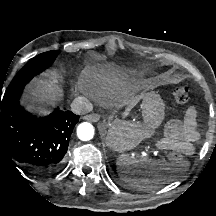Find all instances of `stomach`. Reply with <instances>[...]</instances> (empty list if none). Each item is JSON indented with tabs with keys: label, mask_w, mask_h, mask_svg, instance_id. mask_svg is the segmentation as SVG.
<instances>
[{
	"label": "stomach",
	"mask_w": 216,
	"mask_h": 216,
	"mask_svg": "<svg viewBox=\"0 0 216 216\" xmlns=\"http://www.w3.org/2000/svg\"><path fill=\"white\" fill-rule=\"evenodd\" d=\"M143 123L112 122L106 131V144L115 151L135 148L143 139L150 137L164 119V103L158 94L142 95Z\"/></svg>",
	"instance_id": "1"
}]
</instances>
